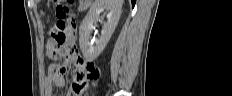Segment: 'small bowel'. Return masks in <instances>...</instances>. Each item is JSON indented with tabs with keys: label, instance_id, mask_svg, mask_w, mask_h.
Returning <instances> with one entry per match:
<instances>
[{
	"label": "small bowel",
	"instance_id": "obj_1",
	"mask_svg": "<svg viewBox=\"0 0 232 96\" xmlns=\"http://www.w3.org/2000/svg\"><path fill=\"white\" fill-rule=\"evenodd\" d=\"M67 23V35L69 39H76V35L80 32V27H78L77 19L69 15ZM47 50L54 48L52 42H48L46 45ZM78 56H73L72 58L77 59ZM83 68H96V63H83ZM65 72L66 70L62 67L52 65L49 67L47 75L45 77L46 91L45 94L50 96L52 94L53 87H63L65 84ZM81 89L76 81L70 86L67 96H80Z\"/></svg>",
	"mask_w": 232,
	"mask_h": 96
}]
</instances>
